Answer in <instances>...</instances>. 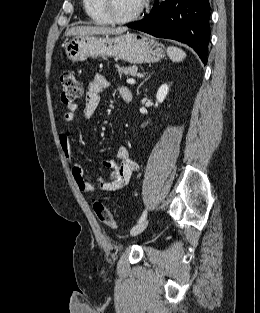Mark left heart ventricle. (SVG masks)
I'll list each match as a JSON object with an SVG mask.
<instances>
[{
  "label": "left heart ventricle",
  "mask_w": 260,
  "mask_h": 313,
  "mask_svg": "<svg viewBox=\"0 0 260 313\" xmlns=\"http://www.w3.org/2000/svg\"><path fill=\"white\" fill-rule=\"evenodd\" d=\"M141 0H113L114 12L117 16L125 17L138 9Z\"/></svg>",
  "instance_id": "1"
}]
</instances>
